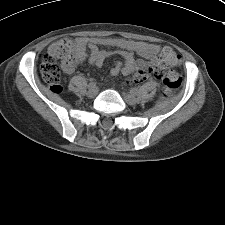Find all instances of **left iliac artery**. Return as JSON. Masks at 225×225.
<instances>
[{"instance_id":"left-iliac-artery-1","label":"left iliac artery","mask_w":225,"mask_h":225,"mask_svg":"<svg viewBox=\"0 0 225 225\" xmlns=\"http://www.w3.org/2000/svg\"><path fill=\"white\" fill-rule=\"evenodd\" d=\"M131 93L136 94L137 93V89L136 88H132L131 89Z\"/></svg>"}]
</instances>
